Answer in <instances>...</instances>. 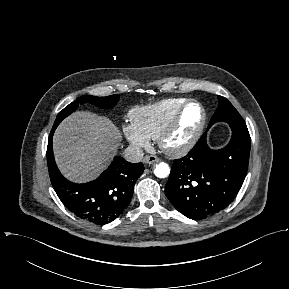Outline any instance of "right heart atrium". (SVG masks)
Listing matches in <instances>:
<instances>
[{
  "label": "right heart atrium",
  "instance_id": "d8ad5b80",
  "mask_svg": "<svg viewBox=\"0 0 289 289\" xmlns=\"http://www.w3.org/2000/svg\"><path fill=\"white\" fill-rule=\"evenodd\" d=\"M123 134L134 147L146 148L150 144V139L133 123H128L123 126Z\"/></svg>",
  "mask_w": 289,
  "mask_h": 289
}]
</instances>
